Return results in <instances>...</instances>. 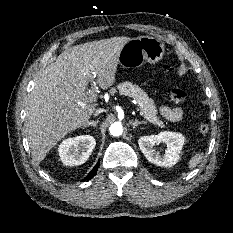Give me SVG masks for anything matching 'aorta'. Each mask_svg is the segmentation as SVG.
Returning a JSON list of instances; mask_svg holds the SVG:
<instances>
[{"mask_svg": "<svg viewBox=\"0 0 233 233\" xmlns=\"http://www.w3.org/2000/svg\"><path fill=\"white\" fill-rule=\"evenodd\" d=\"M110 134L114 137H118L123 132L122 124L119 122L113 123L109 128Z\"/></svg>", "mask_w": 233, "mask_h": 233, "instance_id": "aorta-1", "label": "aorta"}]
</instances>
